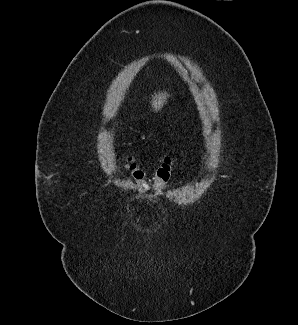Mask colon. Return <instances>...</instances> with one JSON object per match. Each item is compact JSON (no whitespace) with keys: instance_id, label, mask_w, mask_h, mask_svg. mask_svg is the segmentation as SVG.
<instances>
[{"instance_id":"obj_1","label":"colon","mask_w":298,"mask_h":325,"mask_svg":"<svg viewBox=\"0 0 298 325\" xmlns=\"http://www.w3.org/2000/svg\"><path fill=\"white\" fill-rule=\"evenodd\" d=\"M127 168L135 181L138 190L141 193H146L150 190L161 191L163 190L171 177L172 172V159L169 156H166L160 163L157 168L154 176L153 186L150 185L146 173L144 170L137 164L133 157H128L127 159Z\"/></svg>"}]
</instances>
